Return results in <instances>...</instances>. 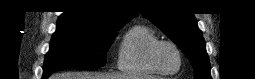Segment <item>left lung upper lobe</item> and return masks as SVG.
<instances>
[{"instance_id":"left-lung-upper-lobe-1","label":"left lung upper lobe","mask_w":255,"mask_h":79,"mask_svg":"<svg viewBox=\"0 0 255 79\" xmlns=\"http://www.w3.org/2000/svg\"><path fill=\"white\" fill-rule=\"evenodd\" d=\"M153 2L142 15L158 26L188 57L195 70V79H211L205 42L193 14L173 11L162 3L164 1Z\"/></svg>"}]
</instances>
